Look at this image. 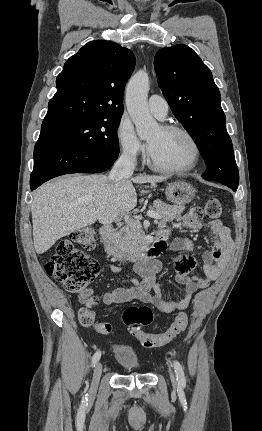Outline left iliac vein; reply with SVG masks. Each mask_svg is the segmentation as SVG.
Instances as JSON below:
<instances>
[{
  "label": "left iliac vein",
  "instance_id": "1",
  "mask_svg": "<svg viewBox=\"0 0 262 431\" xmlns=\"http://www.w3.org/2000/svg\"><path fill=\"white\" fill-rule=\"evenodd\" d=\"M171 379H172L173 384H176V380H175V377H174L172 372H171Z\"/></svg>",
  "mask_w": 262,
  "mask_h": 431
}]
</instances>
